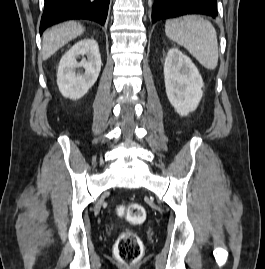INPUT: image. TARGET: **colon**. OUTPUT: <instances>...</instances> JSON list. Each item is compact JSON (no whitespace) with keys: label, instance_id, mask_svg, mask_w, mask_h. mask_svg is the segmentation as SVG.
Masks as SVG:
<instances>
[{"label":"colon","instance_id":"colon-1","mask_svg":"<svg viewBox=\"0 0 265 269\" xmlns=\"http://www.w3.org/2000/svg\"><path fill=\"white\" fill-rule=\"evenodd\" d=\"M118 212L133 224H138L145 219V209L139 203H130L120 206ZM116 257L126 265H133L139 261L142 255V243L139 237L132 231H124L115 244Z\"/></svg>","mask_w":265,"mask_h":269}]
</instances>
